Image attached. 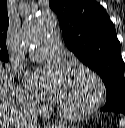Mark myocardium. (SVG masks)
<instances>
[{"mask_svg": "<svg viewBox=\"0 0 125 128\" xmlns=\"http://www.w3.org/2000/svg\"><path fill=\"white\" fill-rule=\"evenodd\" d=\"M70 75L73 76L83 75L91 79L96 86V97L90 105L75 111L66 110L57 104L56 109L59 115L67 119H80L87 117L98 111L103 105L106 97L105 85L101 77L98 74H96L94 71L85 67L74 68L73 70H71Z\"/></svg>", "mask_w": 125, "mask_h": 128, "instance_id": "obj_1", "label": "myocardium"}]
</instances>
